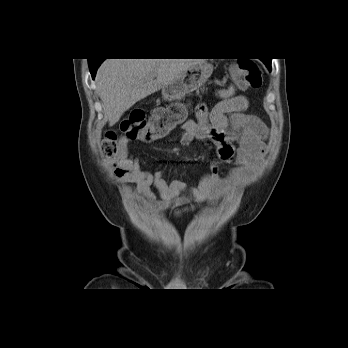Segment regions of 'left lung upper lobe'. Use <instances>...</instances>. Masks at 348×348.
<instances>
[{
	"mask_svg": "<svg viewBox=\"0 0 348 348\" xmlns=\"http://www.w3.org/2000/svg\"><path fill=\"white\" fill-rule=\"evenodd\" d=\"M264 63L267 65L268 68H271V60H265Z\"/></svg>",
	"mask_w": 348,
	"mask_h": 348,
	"instance_id": "left-lung-upper-lobe-1",
	"label": "left lung upper lobe"
}]
</instances>
